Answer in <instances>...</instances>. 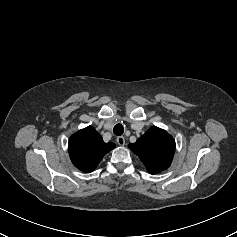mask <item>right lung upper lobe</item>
<instances>
[{
	"label": "right lung upper lobe",
	"mask_w": 237,
	"mask_h": 237,
	"mask_svg": "<svg viewBox=\"0 0 237 237\" xmlns=\"http://www.w3.org/2000/svg\"><path fill=\"white\" fill-rule=\"evenodd\" d=\"M114 148V143H105L92 126L73 134L68 143L72 163L86 173L92 172L104 155Z\"/></svg>",
	"instance_id": "obj_1"
}]
</instances>
